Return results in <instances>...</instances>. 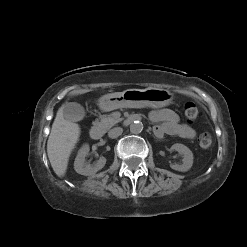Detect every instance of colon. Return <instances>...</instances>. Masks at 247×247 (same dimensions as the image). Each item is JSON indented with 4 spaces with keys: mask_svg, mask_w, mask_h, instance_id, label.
I'll list each match as a JSON object with an SVG mask.
<instances>
[{
    "mask_svg": "<svg viewBox=\"0 0 247 247\" xmlns=\"http://www.w3.org/2000/svg\"><path fill=\"white\" fill-rule=\"evenodd\" d=\"M184 116L187 121L194 122L201 117L200 109L192 102H187L184 107ZM199 145L203 149H208L212 145V138L208 132H203L199 136Z\"/></svg>",
    "mask_w": 247,
    "mask_h": 247,
    "instance_id": "colon-1",
    "label": "colon"
}]
</instances>
